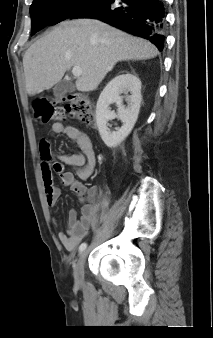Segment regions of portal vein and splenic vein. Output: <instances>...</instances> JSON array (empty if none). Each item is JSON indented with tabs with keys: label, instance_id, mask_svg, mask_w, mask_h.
<instances>
[{
	"label": "portal vein and splenic vein",
	"instance_id": "obj_1",
	"mask_svg": "<svg viewBox=\"0 0 213 338\" xmlns=\"http://www.w3.org/2000/svg\"><path fill=\"white\" fill-rule=\"evenodd\" d=\"M72 73L75 77H80L82 75V69L79 66H75L72 69Z\"/></svg>",
	"mask_w": 213,
	"mask_h": 338
}]
</instances>
